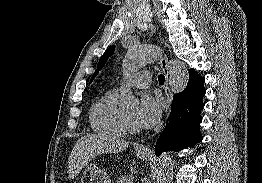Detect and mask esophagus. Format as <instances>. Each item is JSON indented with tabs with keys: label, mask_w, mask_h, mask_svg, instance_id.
Returning a JSON list of instances; mask_svg holds the SVG:
<instances>
[{
	"label": "esophagus",
	"mask_w": 262,
	"mask_h": 183,
	"mask_svg": "<svg viewBox=\"0 0 262 183\" xmlns=\"http://www.w3.org/2000/svg\"><path fill=\"white\" fill-rule=\"evenodd\" d=\"M161 43H163L162 39H161ZM160 66L164 72V74L166 75V77L168 78V75H169V66H168V58H167V55H164L161 60H160ZM165 95L167 97V99L169 101L172 100V94H171V91H170V88L168 87V84L165 88ZM139 150L141 151H145V152H150V149L148 146L146 145H141L138 147Z\"/></svg>",
	"instance_id": "1"
}]
</instances>
